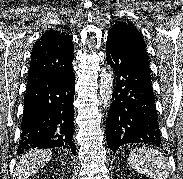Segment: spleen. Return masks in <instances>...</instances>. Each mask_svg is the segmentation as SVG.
I'll return each mask as SVG.
<instances>
[{
  "instance_id": "1",
  "label": "spleen",
  "mask_w": 183,
  "mask_h": 179,
  "mask_svg": "<svg viewBox=\"0 0 183 179\" xmlns=\"http://www.w3.org/2000/svg\"><path fill=\"white\" fill-rule=\"evenodd\" d=\"M128 164L135 171L152 179H167L170 166L164 155L149 147L137 148L130 152Z\"/></svg>"
}]
</instances>
